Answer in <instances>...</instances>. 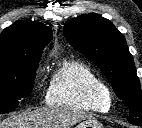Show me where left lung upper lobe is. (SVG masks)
<instances>
[{"mask_svg":"<svg viewBox=\"0 0 142 128\" xmlns=\"http://www.w3.org/2000/svg\"><path fill=\"white\" fill-rule=\"evenodd\" d=\"M64 35L74 49L96 64L130 110L128 121L142 127V93L133 57L115 26L98 14L67 21Z\"/></svg>","mask_w":142,"mask_h":128,"instance_id":"left-lung-upper-lobe-1","label":"left lung upper lobe"}]
</instances>
